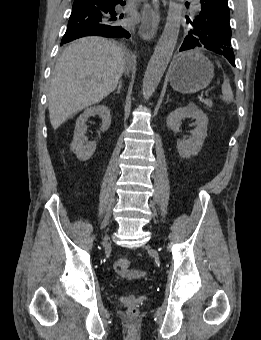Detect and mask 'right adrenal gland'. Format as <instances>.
<instances>
[{
	"mask_svg": "<svg viewBox=\"0 0 261 340\" xmlns=\"http://www.w3.org/2000/svg\"><path fill=\"white\" fill-rule=\"evenodd\" d=\"M121 89H122V82L121 81H119V83H118V87H117V94H120V92H121Z\"/></svg>",
	"mask_w": 261,
	"mask_h": 340,
	"instance_id": "2a0ac1e0",
	"label": "right adrenal gland"
}]
</instances>
